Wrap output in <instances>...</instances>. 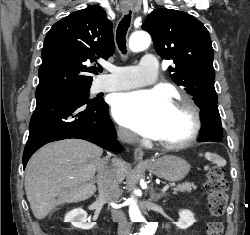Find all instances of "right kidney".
<instances>
[{"instance_id": "right-kidney-1", "label": "right kidney", "mask_w": 250, "mask_h": 235, "mask_svg": "<svg viewBox=\"0 0 250 235\" xmlns=\"http://www.w3.org/2000/svg\"><path fill=\"white\" fill-rule=\"evenodd\" d=\"M64 221L70 222L72 226L82 230H89L94 226V223L87 222V213L82 208H76L68 212Z\"/></svg>"}]
</instances>
